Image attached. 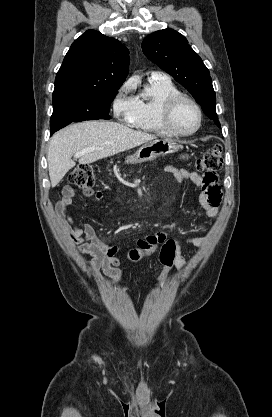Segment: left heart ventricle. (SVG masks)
Instances as JSON below:
<instances>
[{
    "label": "left heart ventricle",
    "mask_w": 272,
    "mask_h": 417,
    "mask_svg": "<svg viewBox=\"0 0 272 417\" xmlns=\"http://www.w3.org/2000/svg\"><path fill=\"white\" fill-rule=\"evenodd\" d=\"M198 123V115L195 108L188 102H181L173 114V125L182 132L192 131Z\"/></svg>",
    "instance_id": "b2bd125f"
}]
</instances>
